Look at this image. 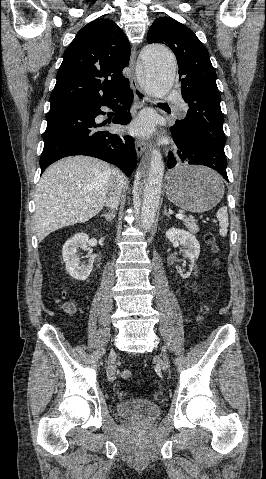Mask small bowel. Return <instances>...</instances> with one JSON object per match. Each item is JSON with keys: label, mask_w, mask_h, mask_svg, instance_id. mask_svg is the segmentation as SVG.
<instances>
[{"label": "small bowel", "mask_w": 266, "mask_h": 479, "mask_svg": "<svg viewBox=\"0 0 266 479\" xmlns=\"http://www.w3.org/2000/svg\"><path fill=\"white\" fill-rule=\"evenodd\" d=\"M61 309L67 314H74L78 310V304L75 301H66L61 304Z\"/></svg>", "instance_id": "c3829d8e"}]
</instances>
